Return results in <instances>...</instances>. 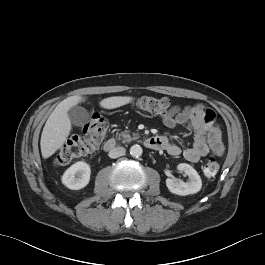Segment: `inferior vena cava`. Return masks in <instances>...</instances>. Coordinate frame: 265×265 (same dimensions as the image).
Masks as SVG:
<instances>
[{"mask_svg": "<svg viewBox=\"0 0 265 265\" xmlns=\"http://www.w3.org/2000/svg\"><path fill=\"white\" fill-rule=\"evenodd\" d=\"M125 152H126V150L124 147H115L109 151L108 156L110 158H118V157L124 155Z\"/></svg>", "mask_w": 265, "mask_h": 265, "instance_id": "602c4592", "label": "inferior vena cava"}]
</instances>
